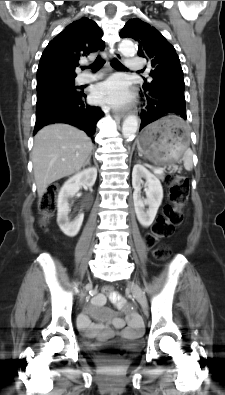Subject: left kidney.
<instances>
[{
  "label": "left kidney",
  "mask_w": 225,
  "mask_h": 395,
  "mask_svg": "<svg viewBox=\"0 0 225 395\" xmlns=\"http://www.w3.org/2000/svg\"><path fill=\"white\" fill-rule=\"evenodd\" d=\"M146 180L147 198L141 197V185ZM132 186L134 188L133 201L137 219L144 227H149L157 214L158 208L162 203L163 189L160 180L154 174L149 172L143 165L136 164L132 171ZM148 205L147 211L145 206Z\"/></svg>",
  "instance_id": "1"
}]
</instances>
